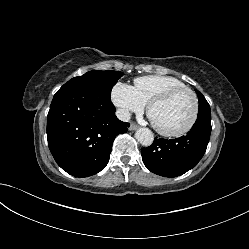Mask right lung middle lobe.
Masks as SVG:
<instances>
[{"mask_svg":"<svg viewBox=\"0 0 249 249\" xmlns=\"http://www.w3.org/2000/svg\"><path fill=\"white\" fill-rule=\"evenodd\" d=\"M124 74L120 71H89L82 76L74 77L64 85L86 87L110 99L112 87Z\"/></svg>","mask_w":249,"mask_h":249,"instance_id":"dd1d6c3e","label":"right lung middle lobe"}]
</instances>
